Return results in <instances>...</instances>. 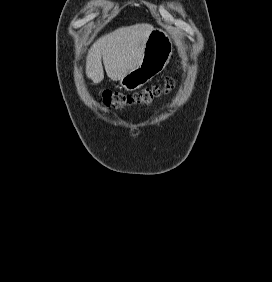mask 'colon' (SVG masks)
<instances>
[{
	"instance_id": "colon-1",
	"label": "colon",
	"mask_w": 272,
	"mask_h": 282,
	"mask_svg": "<svg viewBox=\"0 0 272 282\" xmlns=\"http://www.w3.org/2000/svg\"><path fill=\"white\" fill-rule=\"evenodd\" d=\"M174 86V80L171 77H165L159 85L144 88L133 93L124 94L105 90L102 94V101L107 107L124 108L134 105H149L155 99L168 95Z\"/></svg>"
}]
</instances>
